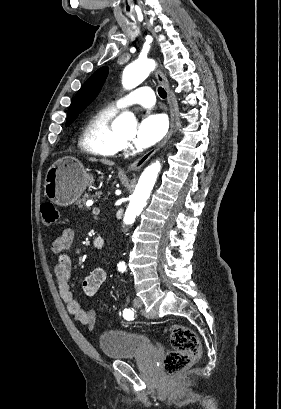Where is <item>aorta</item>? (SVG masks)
<instances>
[{"instance_id": "obj_1", "label": "aorta", "mask_w": 281, "mask_h": 409, "mask_svg": "<svg viewBox=\"0 0 281 409\" xmlns=\"http://www.w3.org/2000/svg\"><path fill=\"white\" fill-rule=\"evenodd\" d=\"M156 64L151 59H139L126 66L122 75L124 88L130 90L141 84L154 70ZM117 130H134L136 120L131 112H124L114 121ZM161 170L159 161L149 165L141 174L134 193L131 195L128 208L125 212L124 223L132 224L146 206L153 186Z\"/></svg>"}]
</instances>
